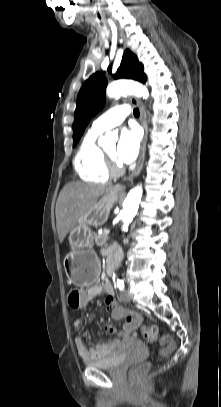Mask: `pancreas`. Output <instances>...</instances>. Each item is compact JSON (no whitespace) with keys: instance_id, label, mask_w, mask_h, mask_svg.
Masks as SVG:
<instances>
[{"instance_id":"obj_1","label":"pancreas","mask_w":221,"mask_h":407,"mask_svg":"<svg viewBox=\"0 0 221 407\" xmlns=\"http://www.w3.org/2000/svg\"><path fill=\"white\" fill-rule=\"evenodd\" d=\"M108 231L104 230L102 234H97L95 236V243L97 246H107V241H108Z\"/></svg>"}]
</instances>
